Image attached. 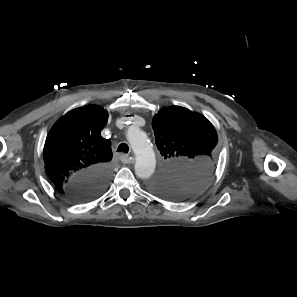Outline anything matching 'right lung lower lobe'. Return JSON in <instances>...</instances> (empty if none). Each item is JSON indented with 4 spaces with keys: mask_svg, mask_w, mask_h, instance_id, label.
I'll use <instances>...</instances> for the list:
<instances>
[{
    "mask_svg": "<svg viewBox=\"0 0 297 297\" xmlns=\"http://www.w3.org/2000/svg\"><path fill=\"white\" fill-rule=\"evenodd\" d=\"M109 167H96L75 175L63 194L75 202H83L98 196L107 186Z\"/></svg>",
    "mask_w": 297,
    "mask_h": 297,
    "instance_id": "1",
    "label": "right lung lower lobe"
}]
</instances>
